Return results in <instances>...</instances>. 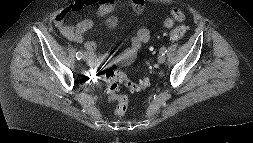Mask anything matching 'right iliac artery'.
Here are the masks:
<instances>
[{
	"label": "right iliac artery",
	"mask_w": 253,
	"mask_h": 143,
	"mask_svg": "<svg viewBox=\"0 0 253 143\" xmlns=\"http://www.w3.org/2000/svg\"><path fill=\"white\" fill-rule=\"evenodd\" d=\"M76 58H77L78 60L82 59V58H83V53H82L81 51H78V52L76 53Z\"/></svg>",
	"instance_id": "82829eb1"
}]
</instances>
